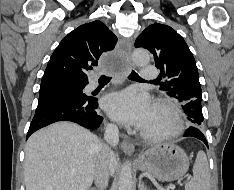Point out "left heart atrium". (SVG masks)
Wrapping results in <instances>:
<instances>
[{
	"label": "left heart atrium",
	"instance_id": "39dd6f15",
	"mask_svg": "<svg viewBox=\"0 0 234 190\" xmlns=\"http://www.w3.org/2000/svg\"><path fill=\"white\" fill-rule=\"evenodd\" d=\"M103 105L112 119L137 128L145 127L154 108L148 95L133 89L109 94Z\"/></svg>",
	"mask_w": 234,
	"mask_h": 190
}]
</instances>
